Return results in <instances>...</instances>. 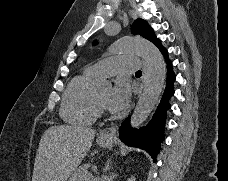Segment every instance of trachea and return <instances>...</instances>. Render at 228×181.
Here are the masks:
<instances>
[{"label": "trachea", "mask_w": 228, "mask_h": 181, "mask_svg": "<svg viewBox=\"0 0 228 181\" xmlns=\"http://www.w3.org/2000/svg\"><path fill=\"white\" fill-rule=\"evenodd\" d=\"M136 74H142V72L140 70L136 71Z\"/></svg>", "instance_id": "obj_1"}]
</instances>
